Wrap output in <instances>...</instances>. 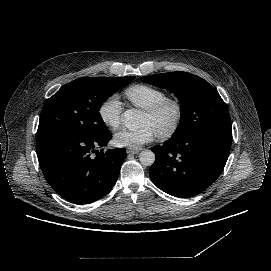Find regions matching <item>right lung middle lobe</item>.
<instances>
[{
  "label": "right lung middle lobe",
  "instance_id": "obj_1",
  "mask_svg": "<svg viewBox=\"0 0 271 271\" xmlns=\"http://www.w3.org/2000/svg\"><path fill=\"white\" fill-rule=\"evenodd\" d=\"M134 79V76L82 77L68 83L44 104L37 135L68 131L95 136L107 130L99 114L100 107Z\"/></svg>",
  "mask_w": 271,
  "mask_h": 271
}]
</instances>
